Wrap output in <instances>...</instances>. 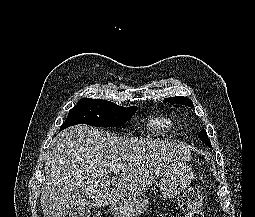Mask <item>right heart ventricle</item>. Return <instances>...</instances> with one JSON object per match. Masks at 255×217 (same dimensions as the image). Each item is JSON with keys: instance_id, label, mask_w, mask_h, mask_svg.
Returning <instances> with one entry per match:
<instances>
[{"instance_id": "obj_1", "label": "right heart ventricle", "mask_w": 255, "mask_h": 217, "mask_svg": "<svg viewBox=\"0 0 255 217\" xmlns=\"http://www.w3.org/2000/svg\"><path fill=\"white\" fill-rule=\"evenodd\" d=\"M172 125V121L167 117H159L153 120L152 126L156 128H163Z\"/></svg>"}]
</instances>
